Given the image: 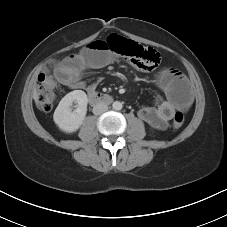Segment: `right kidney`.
Wrapping results in <instances>:
<instances>
[{"label":"right kidney","mask_w":227,"mask_h":227,"mask_svg":"<svg viewBox=\"0 0 227 227\" xmlns=\"http://www.w3.org/2000/svg\"><path fill=\"white\" fill-rule=\"evenodd\" d=\"M76 103V109L72 111V105ZM88 99L82 90H74L65 95L57 106L53 119L60 130L66 133L77 131L83 123L87 113Z\"/></svg>","instance_id":"right-kidney-1"}]
</instances>
